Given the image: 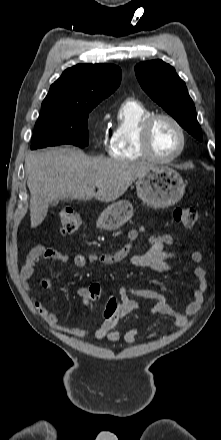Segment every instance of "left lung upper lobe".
Wrapping results in <instances>:
<instances>
[{
  "instance_id": "obj_1",
  "label": "left lung upper lobe",
  "mask_w": 221,
  "mask_h": 440,
  "mask_svg": "<svg viewBox=\"0 0 221 440\" xmlns=\"http://www.w3.org/2000/svg\"><path fill=\"white\" fill-rule=\"evenodd\" d=\"M136 77L143 90L192 136L202 141L196 110L185 82L162 60L139 63Z\"/></svg>"
}]
</instances>
